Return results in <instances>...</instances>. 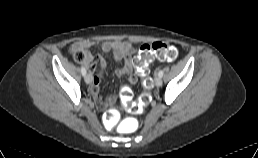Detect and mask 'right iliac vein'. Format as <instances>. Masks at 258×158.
I'll list each match as a JSON object with an SVG mask.
<instances>
[{"label":"right iliac vein","instance_id":"obj_1","mask_svg":"<svg viewBox=\"0 0 258 158\" xmlns=\"http://www.w3.org/2000/svg\"><path fill=\"white\" fill-rule=\"evenodd\" d=\"M84 79H85V82H86L87 84H90V83H91V75H90V74H86L85 77H84Z\"/></svg>","mask_w":258,"mask_h":158}]
</instances>
